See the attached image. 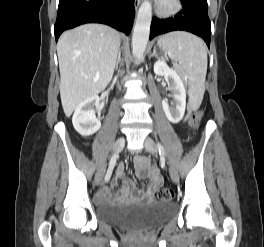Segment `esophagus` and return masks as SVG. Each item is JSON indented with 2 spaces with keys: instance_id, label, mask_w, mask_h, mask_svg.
<instances>
[{
  "instance_id": "1",
  "label": "esophagus",
  "mask_w": 264,
  "mask_h": 247,
  "mask_svg": "<svg viewBox=\"0 0 264 247\" xmlns=\"http://www.w3.org/2000/svg\"><path fill=\"white\" fill-rule=\"evenodd\" d=\"M140 3H141V0H134L135 9L139 7Z\"/></svg>"
}]
</instances>
